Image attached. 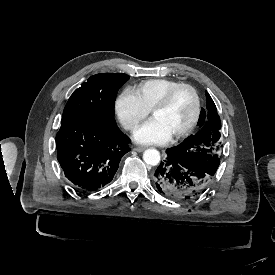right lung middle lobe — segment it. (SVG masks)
I'll return each mask as SVG.
<instances>
[{
  "instance_id": "right-lung-middle-lobe-1",
  "label": "right lung middle lobe",
  "mask_w": 275,
  "mask_h": 275,
  "mask_svg": "<svg viewBox=\"0 0 275 275\" xmlns=\"http://www.w3.org/2000/svg\"><path fill=\"white\" fill-rule=\"evenodd\" d=\"M128 79L129 76L123 73L91 76L69 98L62 121L83 119L102 128L117 126L114 119L116 94Z\"/></svg>"
}]
</instances>
